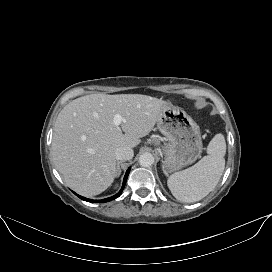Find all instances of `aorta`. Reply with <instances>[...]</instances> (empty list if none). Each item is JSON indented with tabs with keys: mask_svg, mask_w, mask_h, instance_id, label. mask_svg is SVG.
<instances>
[{
	"mask_svg": "<svg viewBox=\"0 0 272 272\" xmlns=\"http://www.w3.org/2000/svg\"><path fill=\"white\" fill-rule=\"evenodd\" d=\"M138 162L142 167H149L153 165L154 157L151 153H143L140 155Z\"/></svg>",
	"mask_w": 272,
	"mask_h": 272,
	"instance_id": "762f6f07",
	"label": "aorta"
}]
</instances>
